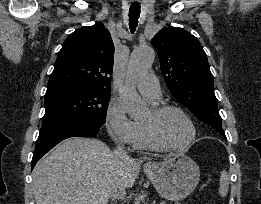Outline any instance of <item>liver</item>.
<instances>
[{
	"label": "liver",
	"instance_id": "liver-1",
	"mask_svg": "<svg viewBox=\"0 0 261 204\" xmlns=\"http://www.w3.org/2000/svg\"><path fill=\"white\" fill-rule=\"evenodd\" d=\"M139 165L119 159L100 140L66 139L38 161L33 170L36 204H107L114 183L131 188Z\"/></svg>",
	"mask_w": 261,
	"mask_h": 204
}]
</instances>
